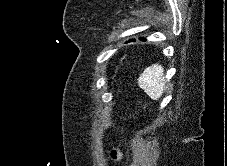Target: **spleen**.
<instances>
[{
	"label": "spleen",
	"mask_w": 227,
	"mask_h": 166,
	"mask_svg": "<svg viewBox=\"0 0 227 166\" xmlns=\"http://www.w3.org/2000/svg\"><path fill=\"white\" fill-rule=\"evenodd\" d=\"M164 69L159 64L146 68L138 78V85L152 100L159 99L165 89Z\"/></svg>",
	"instance_id": "3e777b00"
}]
</instances>
